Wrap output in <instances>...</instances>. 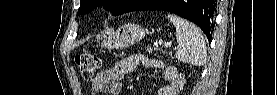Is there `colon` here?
<instances>
[{"label": "colon", "mask_w": 277, "mask_h": 95, "mask_svg": "<svg viewBox=\"0 0 277 95\" xmlns=\"http://www.w3.org/2000/svg\"><path fill=\"white\" fill-rule=\"evenodd\" d=\"M76 64L81 76L88 82L95 80L99 67V60L94 54H80L76 56Z\"/></svg>", "instance_id": "obj_1"}]
</instances>
